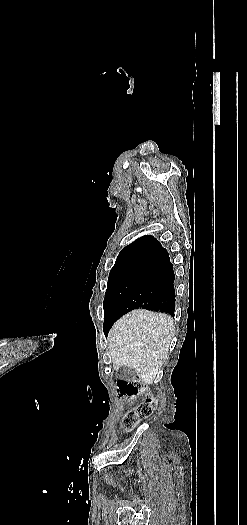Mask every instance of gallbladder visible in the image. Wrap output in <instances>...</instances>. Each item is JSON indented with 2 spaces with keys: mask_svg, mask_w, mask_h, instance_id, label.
<instances>
[{
  "mask_svg": "<svg viewBox=\"0 0 247 525\" xmlns=\"http://www.w3.org/2000/svg\"><path fill=\"white\" fill-rule=\"evenodd\" d=\"M136 377V374L134 372V368L129 365H122L119 367L118 372L116 373V378L118 380H124L127 379L129 381L134 380Z\"/></svg>",
  "mask_w": 247,
  "mask_h": 525,
  "instance_id": "1",
  "label": "gallbladder"
}]
</instances>
